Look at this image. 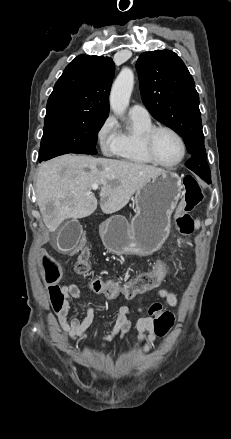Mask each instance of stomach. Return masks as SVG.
<instances>
[{
  "mask_svg": "<svg viewBox=\"0 0 231 439\" xmlns=\"http://www.w3.org/2000/svg\"><path fill=\"white\" fill-rule=\"evenodd\" d=\"M181 178L165 171L146 182L132 197L135 215L131 222L120 215L107 219L99 231L112 253L148 256L156 252L170 232L171 215L181 197Z\"/></svg>",
  "mask_w": 231,
  "mask_h": 439,
  "instance_id": "stomach-1",
  "label": "stomach"
}]
</instances>
